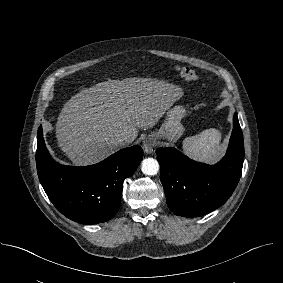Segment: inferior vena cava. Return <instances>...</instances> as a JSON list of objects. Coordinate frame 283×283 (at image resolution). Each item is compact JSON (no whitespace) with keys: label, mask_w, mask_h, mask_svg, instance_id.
I'll list each match as a JSON object with an SVG mask.
<instances>
[{"label":"inferior vena cava","mask_w":283,"mask_h":283,"mask_svg":"<svg viewBox=\"0 0 283 283\" xmlns=\"http://www.w3.org/2000/svg\"><path fill=\"white\" fill-rule=\"evenodd\" d=\"M131 141L127 136L124 135H119L115 138V143L118 144L119 146L129 144Z\"/></svg>","instance_id":"602c4592"}]
</instances>
